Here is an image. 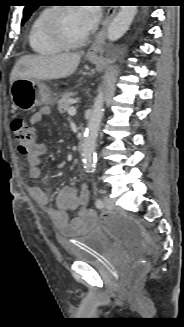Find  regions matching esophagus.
Instances as JSON below:
<instances>
[{
    "label": "esophagus",
    "mask_w": 184,
    "mask_h": 327,
    "mask_svg": "<svg viewBox=\"0 0 184 327\" xmlns=\"http://www.w3.org/2000/svg\"><path fill=\"white\" fill-rule=\"evenodd\" d=\"M116 13V8L108 9L106 17L103 21L101 30L98 32L93 44L87 51L88 56H101L103 53V47L105 42V34L109 23Z\"/></svg>",
    "instance_id": "esophagus-1"
}]
</instances>
